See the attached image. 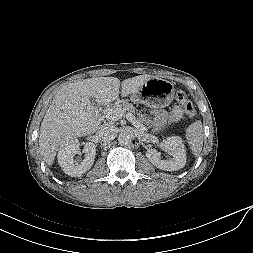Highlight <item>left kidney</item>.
<instances>
[{
    "label": "left kidney",
    "mask_w": 253,
    "mask_h": 253,
    "mask_svg": "<svg viewBox=\"0 0 253 253\" xmlns=\"http://www.w3.org/2000/svg\"><path fill=\"white\" fill-rule=\"evenodd\" d=\"M161 148L172 151L173 158L161 160L160 154L156 150H148L146 157L154 166L164 171H177L185 166L186 150L179 136H172L163 140L161 142Z\"/></svg>",
    "instance_id": "5707ae66"
}]
</instances>
